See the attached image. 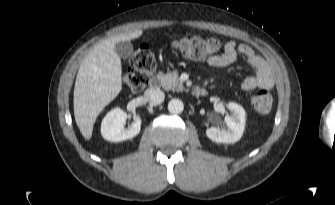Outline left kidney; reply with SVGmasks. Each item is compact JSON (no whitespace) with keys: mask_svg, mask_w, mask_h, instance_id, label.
Returning <instances> with one entry per match:
<instances>
[{"mask_svg":"<svg viewBox=\"0 0 335 205\" xmlns=\"http://www.w3.org/2000/svg\"><path fill=\"white\" fill-rule=\"evenodd\" d=\"M227 108L232 112L225 116L227 129L210 127L206 129L209 139L217 143H234L240 140L245 126V111L242 106L235 103H228Z\"/></svg>","mask_w":335,"mask_h":205,"instance_id":"1","label":"left kidney"}]
</instances>
